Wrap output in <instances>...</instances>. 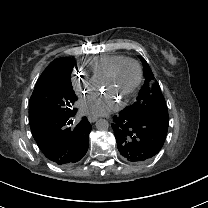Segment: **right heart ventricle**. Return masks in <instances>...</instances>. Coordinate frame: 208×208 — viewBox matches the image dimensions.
Listing matches in <instances>:
<instances>
[{"label": "right heart ventricle", "mask_w": 208, "mask_h": 208, "mask_svg": "<svg viewBox=\"0 0 208 208\" xmlns=\"http://www.w3.org/2000/svg\"><path fill=\"white\" fill-rule=\"evenodd\" d=\"M122 56L119 55H101L98 57H93L87 61V65L89 66L92 79L98 83L101 79H103L113 68V66L121 59Z\"/></svg>", "instance_id": "e07e8e85"}]
</instances>
